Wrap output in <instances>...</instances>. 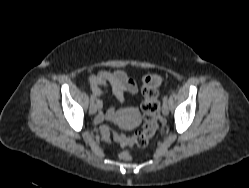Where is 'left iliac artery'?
<instances>
[{
	"label": "left iliac artery",
	"mask_w": 249,
	"mask_h": 188,
	"mask_svg": "<svg viewBox=\"0 0 249 188\" xmlns=\"http://www.w3.org/2000/svg\"><path fill=\"white\" fill-rule=\"evenodd\" d=\"M163 102H164V103H167V102H168V95H165V96H164Z\"/></svg>",
	"instance_id": "1"
}]
</instances>
